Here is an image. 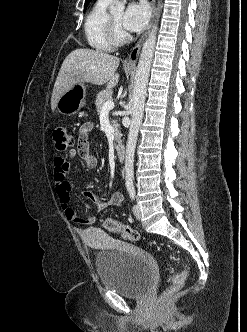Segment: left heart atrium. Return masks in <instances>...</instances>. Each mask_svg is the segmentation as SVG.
Wrapping results in <instances>:
<instances>
[{"mask_svg":"<svg viewBox=\"0 0 247 332\" xmlns=\"http://www.w3.org/2000/svg\"><path fill=\"white\" fill-rule=\"evenodd\" d=\"M149 16L150 11L144 1L132 2L123 15L122 26L127 32L140 31L146 26Z\"/></svg>","mask_w":247,"mask_h":332,"instance_id":"1","label":"left heart atrium"}]
</instances>
